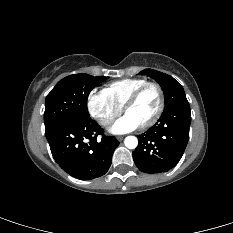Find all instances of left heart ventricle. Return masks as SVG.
Instances as JSON below:
<instances>
[{
  "instance_id": "1",
  "label": "left heart ventricle",
  "mask_w": 233,
  "mask_h": 233,
  "mask_svg": "<svg viewBox=\"0 0 233 233\" xmlns=\"http://www.w3.org/2000/svg\"><path fill=\"white\" fill-rule=\"evenodd\" d=\"M159 106L158 91L154 87L147 88L139 99L131 105L126 113L133 115L140 124L148 121Z\"/></svg>"
}]
</instances>
